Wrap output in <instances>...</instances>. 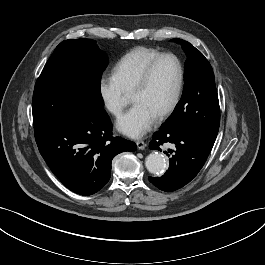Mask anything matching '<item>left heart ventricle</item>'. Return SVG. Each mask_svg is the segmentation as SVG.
<instances>
[{
    "mask_svg": "<svg viewBox=\"0 0 265 265\" xmlns=\"http://www.w3.org/2000/svg\"><path fill=\"white\" fill-rule=\"evenodd\" d=\"M178 82V68L171 58L161 60L154 68L147 87L133 95L131 101L141 104L157 116L172 101Z\"/></svg>",
    "mask_w": 265,
    "mask_h": 265,
    "instance_id": "1",
    "label": "left heart ventricle"
}]
</instances>
